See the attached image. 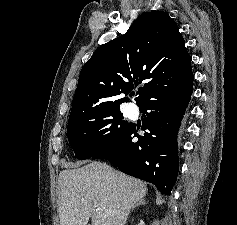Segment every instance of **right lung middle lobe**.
<instances>
[{
	"instance_id": "1",
	"label": "right lung middle lobe",
	"mask_w": 237,
	"mask_h": 225,
	"mask_svg": "<svg viewBox=\"0 0 237 225\" xmlns=\"http://www.w3.org/2000/svg\"><path fill=\"white\" fill-rule=\"evenodd\" d=\"M119 109L68 123L67 136L75 157L88 159L112 146L129 127Z\"/></svg>"
}]
</instances>
